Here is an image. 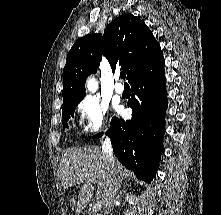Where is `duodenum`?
<instances>
[{
  "label": "duodenum",
  "instance_id": "obj_1",
  "mask_svg": "<svg viewBox=\"0 0 221 215\" xmlns=\"http://www.w3.org/2000/svg\"><path fill=\"white\" fill-rule=\"evenodd\" d=\"M78 215H88V214H87V212H86L85 210H83V211H80V212L78 213Z\"/></svg>",
  "mask_w": 221,
  "mask_h": 215
}]
</instances>
